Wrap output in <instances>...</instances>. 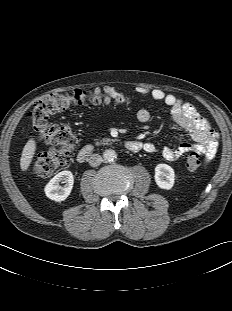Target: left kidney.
<instances>
[{
	"label": "left kidney",
	"mask_w": 232,
	"mask_h": 311,
	"mask_svg": "<svg viewBox=\"0 0 232 311\" xmlns=\"http://www.w3.org/2000/svg\"><path fill=\"white\" fill-rule=\"evenodd\" d=\"M175 180L174 170L167 164H158L155 167V182L161 189L169 190L173 187Z\"/></svg>",
	"instance_id": "left-kidney-1"
}]
</instances>
